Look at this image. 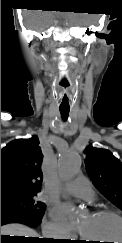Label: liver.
I'll return each mask as SVG.
<instances>
[{
    "label": "liver",
    "mask_w": 122,
    "mask_h": 243,
    "mask_svg": "<svg viewBox=\"0 0 122 243\" xmlns=\"http://www.w3.org/2000/svg\"><path fill=\"white\" fill-rule=\"evenodd\" d=\"M1 235L38 237V233L35 230L22 224H7L1 226ZM28 239H37V238H28Z\"/></svg>",
    "instance_id": "6515ba94"
}]
</instances>
